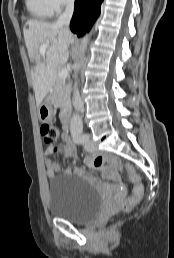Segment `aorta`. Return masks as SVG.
Listing matches in <instances>:
<instances>
[{
  "label": "aorta",
  "mask_w": 174,
  "mask_h": 258,
  "mask_svg": "<svg viewBox=\"0 0 174 258\" xmlns=\"http://www.w3.org/2000/svg\"><path fill=\"white\" fill-rule=\"evenodd\" d=\"M88 45V36L86 35L82 40H81V52L82 54L84 53L85 49L87 48ZM81 63L78 61L74 64V72L75 76L78 74L80 70ZM83 128V123H82V118L80 117L79 114L74 113L71 122H70V129L71 130H77L81 131Z\"/></svg>",
  "instance_id": "aorta-1"
}]
</instances>
